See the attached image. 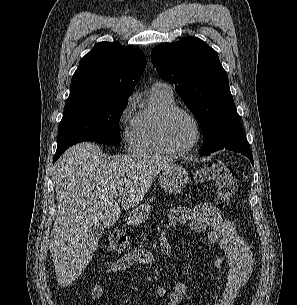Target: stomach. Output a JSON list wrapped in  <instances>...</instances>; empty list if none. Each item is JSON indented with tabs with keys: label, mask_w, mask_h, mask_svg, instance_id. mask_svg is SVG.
I'll use <instances>...</instances> for the list:
<instances>
[{
	"label": "stomach",
	"mask_w": 297,
	"mask_h": 305,
	"mask_svg": "<svg viewBox=\"0 0 297 305\" xmlns=\"http://www.w3.org/2000/svg\"><path fill=\"white\" fill-rule=\"evenodd\" d=\"M188 181L186 169L178 164H170L159 174V183L161 187L169 193L181 191ZM150 212V205L143 204L137 207L131 214L129 222L140 224L145 221Z\"/></svg>",
	"instance_id": "0dacf381"
}]
</instances>
